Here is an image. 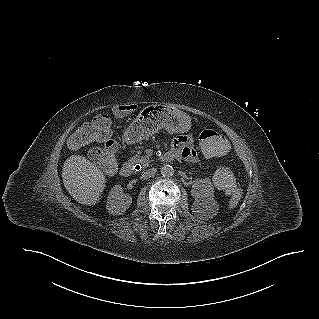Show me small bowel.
<instances>
[{
  "label": "small bowel",
  "instance_id": "small-bowel-1",
  "mask_svg": "<svg viewBox=\"0 0 319 319\" xmlns=\"http://www.w3.org/2000/svg\"><path fill=\"white\" fill-rule=\"evenodd\" d=\"M114 113L118 117H126L130 113V107L126 103L118 104L114 108ZM170 152L174 157H182L192 163L198 161L197 153L192 147V138L188 135L176 137L172 142Z\"/></svg>",
  "mask_w": 319,
  "mask_h": 319
}]
</instances>
